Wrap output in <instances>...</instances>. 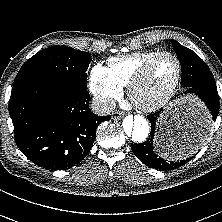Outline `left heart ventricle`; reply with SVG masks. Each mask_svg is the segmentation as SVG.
<instances>
[{
	"mask_svg": "<svg viewBox=\"0 0 222 222\" xmlns=\"http://www.w3.org/2000/svg\"><path fill=\"white\" fill-rule=\"evenodd\" d=\"M176 72L177 65L173 58L164 56L158 59L138 90L139 99L149 102L159 97L171 85Z\"/></svg>",
	"mask_w": 222,
	"mask_h": 222,
	"instance_id": "b2bd125f",
	"label": "left heart ventricle"
}]
</instances>
